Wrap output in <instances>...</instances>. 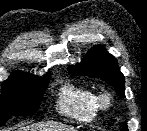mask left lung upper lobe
<instances>
[{"instance_id":"left-lung-upper-lobe-1","label":"left lung upper lobe","mask_w":147,"mask_h":131,"mask_svg":"<svg viewBox=\"0 0 147 131\" xmlns=\"http://www.w3.org/2000/svg\"><path fill=\"white\" fill-rule=\"evenodd\" d=\"M69 72L101 78L114 86L119 96L125 97L124 75L118 68L117 60L101 45L91 48L80 63L69 68Z\"/></svg>"}]
</instances>
